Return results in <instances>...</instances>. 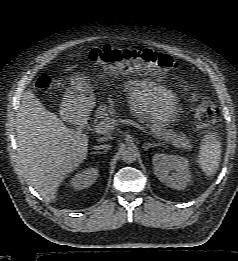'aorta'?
Listing matches in <instances>:
<instances>
[{
    "instance_id": "1",
    "label": "aorta",
    "mask_w": 238,
    "mask_h": 261,
    "mask_svg": "<svg viewBox=\"0 0 238 261\" xmlns=\"http://www.w3.org/2000/svg\"><path fill=\"white\" fill-rule=\"evenodd\" d=\"M121 158L125 163H133L136 161L137 152L132 147H125L121 151Z\"/></svg>"
}]
</instances>
